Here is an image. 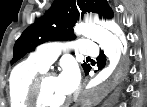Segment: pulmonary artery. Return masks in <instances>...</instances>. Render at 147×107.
<instances>
[{"label":"pulmonary artery","instance_id":"obj_1","mask_svg":"<svg viewBox=\"0 0 147 107\" xmlns=\"http://www.w3.org/2000/svg\"><path fill=\"white\" fill-rule=\"evenodd\" d=\"M75 46L80 54L96 56L98 54V46L87 40H77ZM62 45L59 43H50L40 47V49L32 54V60L48 68L57 58Z\"/></svg>","mask_w":147,"mask_h":107}]
</instances>
